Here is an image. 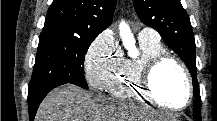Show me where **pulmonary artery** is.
<instances>
[{"label": "pulmonary artery", "mask_w": 217, "mask_h": 121, "mask_svg": "<svg viewBox=\"0 0 217 121\" xmlns=\"http://www.w3.org/2000/svg\"><path fill=\"white\" fill-rule=\"evenodd\" d=\"M138 38L140 40H149L153 42H158L160 40L159 34L149 27L142 28L138 33Z\"/></svg>", "instance_id": "pulmonary-artery-1"}]
</instances>
